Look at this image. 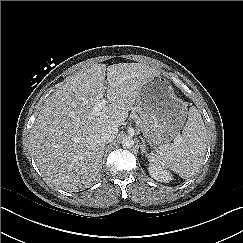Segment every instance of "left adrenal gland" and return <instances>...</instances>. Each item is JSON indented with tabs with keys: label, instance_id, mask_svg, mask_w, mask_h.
<instances>
[{
	"label": "left adrenal gland",
	"instance_id": "left-adrenal-gland-1",
	"mask_svg": "<svg viewBox=\"0 0 243 243\" xmlns=\"http://www.w3.org/2000/svg\"><path fill=\"white\" fill-rule=\"evenodd\" d=\"M140 150H141L142 155H144V154H145V156L148 155L144 144H140Z\"/></svg>",
	"mask_w": 243,
	"mask_h": 243
}]
</instances>
